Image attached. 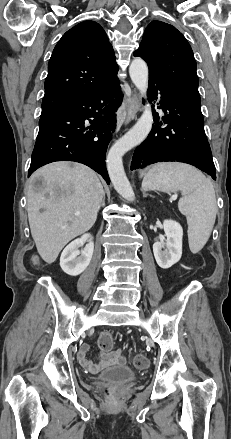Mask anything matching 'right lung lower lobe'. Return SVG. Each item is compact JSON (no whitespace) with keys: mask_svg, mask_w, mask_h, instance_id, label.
Wrapping results in <instances>:
<instances>
[{"mask_svg":"<svg viewBox=\"0 0 231 439\" xmlns=\"http://www.w3.org/2000/svg\"><path fill=\"white\" fill-rule=\"evenodd\" d=\"M119 84L116 77L106 88L40 118L28 177L45 164L75 161L91 167L110 183L105 156L115 131V111L122 102Z\"/></svg>","mask_w":231,"mask_h":439,"instance_id":"right-lung-lower-lobe-1","label":"right lung lower lobe"}]
</instances>
